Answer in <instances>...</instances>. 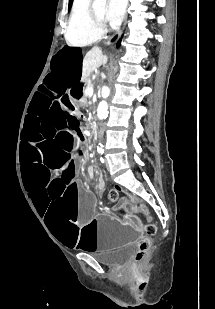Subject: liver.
<instances>
[{"instance_id": "6515ba94", "label": "liver", "mask_w": 215, "mask_h": 309, "mask_svg": "<svg viewBox=\"0 0 215 309\" xmlns=\"http://www.w3.org/2000/svg\"><path fill=\"white\" fill-rule=\"evenodd\" d=\"M107 60L108 56L103 54L100 46H93L91 50H88L83 58L82 82L88 80L91 72L98 68V66H101V64H106Z\"/></svg>"}]
</instances>
